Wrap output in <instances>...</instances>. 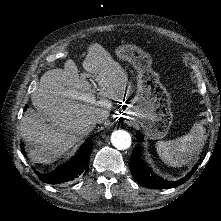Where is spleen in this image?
<instances>
[{"label": "spleen", "mask_w": 221, "mask_h": 221, "mask_svg": "<svg viewBox=\"0 0 221 221\" xmlns=\"http://www.w3.org/2000/svg\"><path fill=\"white\" fill-rule=\"evenodd\" d=\"M205 129L201 124H195L191 131L179 138L157 143L160 158L170 166L182 167L187 164L205 140Z\"/></svg>", "instance_id": "obj_1"}]
</instances>
